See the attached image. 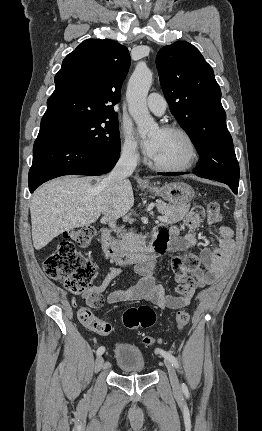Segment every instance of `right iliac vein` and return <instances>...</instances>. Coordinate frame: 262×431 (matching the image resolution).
<instances>
[{
  "label": "right iliac vein",
  "instance_id": "63e3f726",
  "mask_svg": "<svg viewBox=\"0 0 262 431\" xmlns=\"http://www.w3.org/2000/svg\"><path fill=\"white\" fill-rule=\"evenodd\" d=\"M104 358L102 356H98L95 362V371L99 372L101 368L103 367Z\"/></svg>",
  "mask_w": 262,
  "mask_h": 431
}]
</instances>
